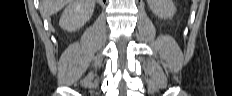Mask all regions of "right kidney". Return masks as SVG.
I'll return each instance as SVG.
<instances>
[{
    "instance_id": "1",
    "label": "right kidney",
    "mask_w": 232,
    "mask_h": 96,
    "mask_svg": "<svg viewBox=\"0 0 232 96\" xmlns=\"http://www.w3.org/2000/svg\"><path fill=\"white\" fill-rule=\"evenodd\" d=\"M95 0H72L65 8L59 21L62 29L76 31L92 16Z\"/></svg>"
}]
</instances>
